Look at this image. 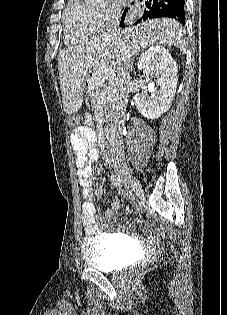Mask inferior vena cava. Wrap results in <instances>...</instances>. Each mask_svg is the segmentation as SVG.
<instances>
[{
	"mask_svg": "<svg viewBox=\"0 0 227 315\" xmlns=\"http://www.w3.org/2000/svg\"><path fill=\"white\" fill-rule=\"evenodd\" d=\"M121 18V10L119 8H112L110 11V21L107 25L106 31L103 33L104 37L115 36L119 31V23ZM129 64L124 63V67L120 68L115 78V92L112 100V124L109 130V147L112 155L122 152L121 133L125 121L126 107L129 97L130 75Z\"/></svg>",
	"mask_w": 227,
	"mask_h": 315,
	"instance_id": "obj_1",
	"label": "inferior vena cava"
}]
</instances>
